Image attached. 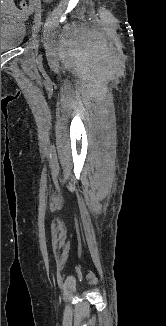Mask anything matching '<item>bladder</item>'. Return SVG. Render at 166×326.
<instances>
[{
	"label": "bladder",
	"mask_w": 166,
	"mask_h": 326,
	"mask_svg": "<svg viewBox=\"0 0 166 326\" xmlns=\"http://www.w3.org/2000/svg\"><path fill=\"white\" fill-rule=\"evenodd\" d=\"M26 26L17 16L1 13V52L17 48L24 40Z\"/></svg>",
	"instance_id": "obj_1"
}]
</instances>
